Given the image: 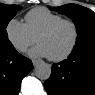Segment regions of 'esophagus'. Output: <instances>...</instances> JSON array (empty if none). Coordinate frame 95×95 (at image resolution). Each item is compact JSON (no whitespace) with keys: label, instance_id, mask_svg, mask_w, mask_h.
<instances>
[{"label":"esophagus","instance_id":"34e87169","mask_svg":"<svg viewBox=\"0 0 95 95\" xmlns=\"http://www.w3.org/2000/svg\"><path fill=\"white\" fill-rule=\"evenodd\" d=\"M38 62H39V61L36 60V59H33V60H32V63H33L34 66H36V65L38 64Z\"/></svg>","mask_w":95,"mask_h":95}]
</instances>
